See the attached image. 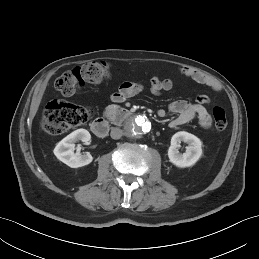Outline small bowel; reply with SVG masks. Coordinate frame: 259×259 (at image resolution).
<instances>
[{
  "label": "small bowel",
  "mask_w": 259,
  "mask_h": 259,
  "mask_svg": "<svg viewBox=\"0 0 259 259\" xmlns=\"http://www.w3.org/2000/svg\"><path fill=\"white\" fill-rule=\"evenodd\" d=\"M179 72L182 76L199 84L206 85L215 91L221 90L219 81L204 72L185 66L180 67ZM172 88L173 81L171 79L161 80L158 77H153L151 80L150 90L154 95H160L163 92L170 91ZM142 89V85L137 82L124 81L118 90L111 94V100L115 103L124 102L128 98L140 93ZM208 103L209 99L205 95L199 96L196 102H189L182 99L173 101L169 105V111L175 114L176 117L171 121V127L183 125L198 117L201 127L209 129L212 121L204 106ZM157 114L160 117H164L167 112L164 109H160Z\"/></svg>",
  "instance_id": "1"
}]
</instances>
